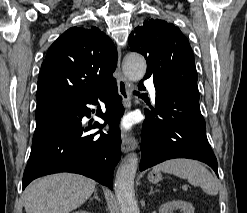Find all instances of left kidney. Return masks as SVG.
<instances>
[{
  "mask_svg": "<svg viewBox=\"0 0 247 213\" xmlns=\"http://www.w3.org/2000/svg\"><path fill=\"white\" fill-rule=\"evenodd\" d=\"M175 209H181L183 213H194L192 204L184 201H172L162 204L159 208V213H172Z\"/></svg>",
  "mask_w": 247,
  "mask_h": 213,
  "instance_id": "left-kidney-1",
  "label": "left kidney"
}]
</instances>
